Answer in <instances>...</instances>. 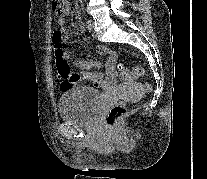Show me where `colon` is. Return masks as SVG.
<instances>
[{
	"label": "colon",
	"instance_id": "1",
	"mask_svg": "<svg viewBox=\"0 0 207 179\" xmlns=\"http://www.w3.org/2000/svg\"><path fill=\"white\" fill-rule=\"evenodd\" d=\"M52 9L58 17L65 16L68 10L67 0H52ZM62 39V32L59 29L55 30L52 35L54 46V67L60 89L67 90L76 84L79 79L70 71L69 64L66 61L63 51ZM118 68L121 72V78L124 81H131L141 77L144 74V69L142 67H135L134 69L129 70L119 64ZM143 89L145 91L150 90V85L145 83ZM126 114V105L124 103H117L113 105L107 112L106 123L112 127L116 126L126 116Z\"/></svg>",
	"mask_w": 207,
	"mask_h": 179
}]
</instances>
